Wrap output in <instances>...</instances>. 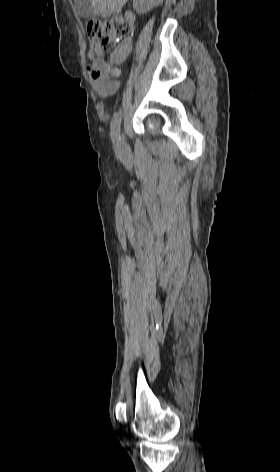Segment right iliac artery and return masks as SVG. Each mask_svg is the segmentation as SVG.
I'll use <instances>...</instances> for the list:
<instances>
[{"instance_id":"1","label":"right iliac artery","mask_w":280,"mask_h":472,"mask_svg":"<svg viewBox=\"0 0 280 472\" xmlns=\"http://www.w3.org/2000/svg\"><path fill=\"white\" fill-rule=\"evenodd\" d=\"M121 117H122L121 111L117 112L114 115L112 123H111V137L116 147H118L120 143Z\"/></svg>"}]
</instances>
